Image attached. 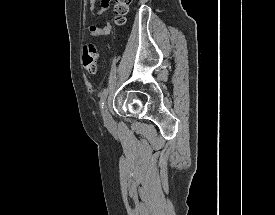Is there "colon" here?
<instances>
[{"label":"colon","instance_id":"colon-1","mask_svg":"<svg viewBox=\"0 0 275 215\" xmlns=\"http://www.w3.org/2000/svg\"><path fill=\"white\" fill-rule=\"evenodd\" d=\"M114 12L116 23L122 24L125 15L129 11L131 0H114ZM100 53L95 43L86 42L82 48V64L88 74H96L98 71Z\"/></svg>","mask_w":275,"mask_h":215}]
</instances>
